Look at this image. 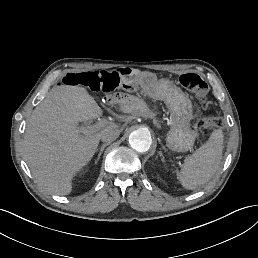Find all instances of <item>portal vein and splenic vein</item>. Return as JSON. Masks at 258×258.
I'll use <instances>...</instances> for the list:
<instances>
[{
	"label": "portal vein and splenic vein",
	"instance_id": "18ae733b",
	"mask_svg": "<svg viewBox=\"0 0 258 258\" xmlns=\"http://www.w3.org/2000/svg\"><path fill=\"white\" fill-rule=\"evenodd\" d=\"M99 128H100V126L95 125V126H90L87 129L90 130L91 132H96L99 130Z\"/></svg>",
	"mask_w": 258,
	"mask_h": 258
}]
</instances>
